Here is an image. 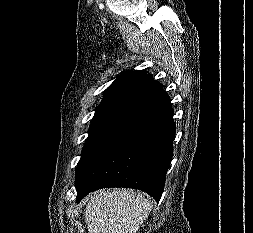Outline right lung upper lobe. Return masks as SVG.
<instances>
[{"mask_svg": "<svg viewBox=\"0 0 253 233\" xmlns=\"http://www.w3.org/2000/svg\"><path fill=\"white\" fill-rule=\"evenodd\" d=\"M162 84L143 70H126L105 90L102 103H138L160 89Z\"/></svg>", "mask_w": 253, "mask_h": 233, "instance_id": "cb5924a9", "label": "right lung upper lobe"}]
</instances>
